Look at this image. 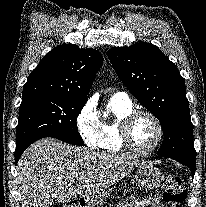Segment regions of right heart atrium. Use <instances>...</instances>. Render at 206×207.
I'll return each mask as SVG.
<instances>
[{
	"label": "right heart atrium",
	"instance_id": "right-heart-atrium-1",
	"mask_svg": "<svg viewBox=\"0 0 206 207\" xmlns=\"http://www.w3.org/2000/svg\"><path fill=\"white\" fill-rule=\"evenodd\" d=\"M75 124L83 142L88 147L95 149L100 147V120L92 101H87L80 108L76 115Z\"/></svg>",
	"mask_w": 206,
	"mask_h": 207
}]
</instances>
